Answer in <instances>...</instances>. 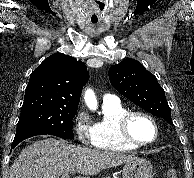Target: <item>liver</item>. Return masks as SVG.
Listing matches in <instances>:
<instances>
[{"label":"liver","mask_w":194,"mask_h":178,"mask_svg":"<svg viewBox=\"0 0 194 178\" xmlns=\"http://www.w3.org/2000/svg\"><path fill=\"white\" fill-rule=\"evenodd\" d=\"M134 159L137 157L133 154L100 151L46 138L21 151L11 166L10 178H59L71 172L79 174L75 178H88Z\"/></svg>","instance_id":"obj_1"}]
</instances>
